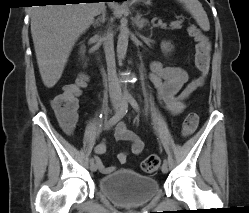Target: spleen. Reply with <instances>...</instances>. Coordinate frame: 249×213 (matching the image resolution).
<instances>
[{"label":"spleen","instance_id":"3e777b00","mask_svg":"<svg viewBox=\"0 0 249 213\" xmlns=\"http://www.w3.org/2000/svg\"><path fill=\"white\" fill-rule=\"evenodd\" d=\"M180 3L184 4V7L190 14L194 17L197 24L204 31L210 29L209 20L206 12L204 11L202 4L198 0H178Z\"/></svg>","mask_w":249,"mask_h":213}]
</instances>
